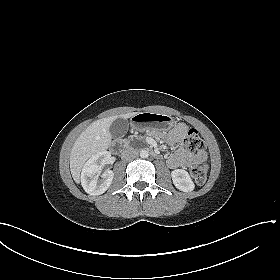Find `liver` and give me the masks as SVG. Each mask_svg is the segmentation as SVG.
Segmentation results:
<instances>
[{"label":"liver","mask_w":280,"mask_h":280,"mask_svg":"<svg viewBox=\"0 0 280 280\" xmlns=\"http://www.w3.org/2000/svg\"><path fill=\"white\" fill-rule=\"evenodd\" d=\"M136 112L99 119L91 123L76 139L70 153V170L76 183L80 181V172L84 163L93 155L106 150L112 140L109 128L117 118L128 119Z\"/></svg>","instance_id":"liver-1"}]
</instances>
